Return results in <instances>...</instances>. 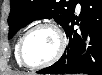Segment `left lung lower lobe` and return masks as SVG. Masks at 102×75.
<instances>
[{"label":"left lung lower lobe","instance_id":"0a47b994","mask_svg":"<svg viewBox=\"0 0 102 75\" xmlns=\"http://www.w3.org/2000/svg\"><path fill=\"white\" fill-rule=\"evenodd\" d=\"M81 14L74 13L63 26L69 41L62 57L39 74L102 75V0H80ZM80 32L73 29L79 24Z\"/></svg>","mask_w":102,"mask_h":75}]
</instances>
